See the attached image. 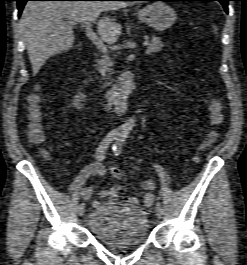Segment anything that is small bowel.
Returning <instances> with one entry per match:
<instances>
[{
    "label": "small bowel",
    "mask_w": 247,
    "mask_h": 265,
    "mask_svg": "<svg viewBox=\"0 0 247 265\" xmlns=\"http://www.w3.org/2000/svg\"><path fill=\"white\" fill-rule=\"evenodd\" d=\"M107 173L106 168L101 163H92L84 167L77 177L70 183L69 190L72 193H77L83 200L90 199L94 194L100 197H107L113 201L126 200L129 203H137L136 197H125L121 194V186L114 185L108 190L97 192L90 186H85L86 181L91 176H105ZM142 189L146 192L143 198V202L146 206H150L153 203L154 195L151 193L155 188V183L152 179L147 178L141 184Z\"/></svg>",
    "instance_id": "small-bowel-1"
}]
</instances>
